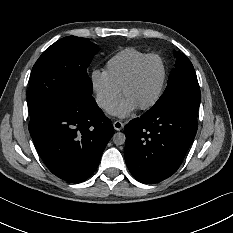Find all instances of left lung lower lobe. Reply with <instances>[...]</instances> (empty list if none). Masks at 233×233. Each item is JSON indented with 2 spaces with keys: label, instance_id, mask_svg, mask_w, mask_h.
I'll return each instance as SVG.
<instances>
[{
  "label": "left lung lower lobe",
  "instance_id": "1",
  "mask_svg": "<svg viewBox=\"0 0 233 233\" xmlns=\"http://www.w3.org/2000/svg\"><path fill=\"white\" fill-rule=\"evenodd\" d=\"M197 114L187 109L146 112L125 126V160L138 181L158 183L177 171L196 135Z\"/></svg>",
  "mask_w": 233,
  "mask_h": 233
}]
</instances>
